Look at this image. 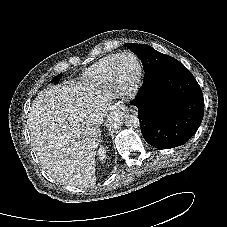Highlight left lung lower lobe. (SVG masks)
I'll return each instance as SVG.
<instances>
[{
  "label": "left lung lower lobe",
  "instance_id": "left-lung-lower-lobe-1",
  "mask_svg": "<svg viewBox=\"0 0 227 227\" xmlns=\"http://www.w3.org/2000/svg\"><path fill=\"white\" fill-rule=\"evenodd\" d=\"M157 53L146 45L138 56L146 66L158 59ZM131 103L138 108L144 139L159 149L185 144L199 128L204 115L201 88L184 65L144 78Z\"/></svg>",
  "mask_w": 227,
  "mask_h": 227
}]
</instances>
